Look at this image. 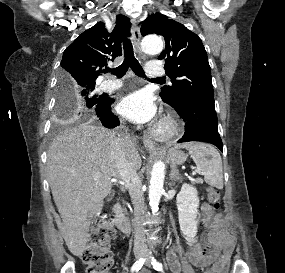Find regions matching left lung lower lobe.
I'll return each instance as SVG.
<instances>
[{
    "label": "left lung lower lobe",
    "mask_w": 285,
    "mask_h": 273,
    "mask_svg": "<svg viewBox=\"0 0 285 273\" xmlns=\"http://www.w3.org/2000/svg\"><path fill=\"white\" fill-rule=\"evenodd\" d=\"M168 104L185 121V134L178 142L203 141L211 143L223 151L222 140L218 133L214 98H192Z\"/></svg>",
    "instance_id": "left-lung-lower-lobe-1"
}]
</instances>
